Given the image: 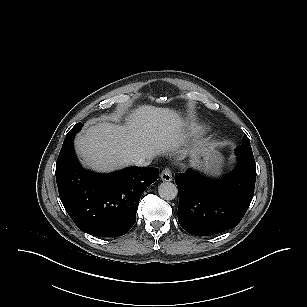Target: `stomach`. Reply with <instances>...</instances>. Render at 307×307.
I'll use <instances>...</instances> for the list:
<instances>
[{
    "label": "stomach",
    "instance_id": "1",
    "mask_svg": "<svg viewBox=\"0 0 307 307\" xmlns=\"http://www.w3.org/2000/svg\"><path fill=\"white\" fill-rule=\"evenodd\" d=\"M221 164L222 158L220 154L211 152L209 155L204 157V161L201 166H203L208 173L217 175L220 173Z\"/></svg>",
    "mask_w": 307,
    "mask_h": 307
}]
</instances>
